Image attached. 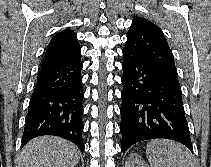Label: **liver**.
I'll return each instance as SVG.
<instances>
[{
    "mask_svg": "<svg viewBox=\"0 0 211 167\" xmlns=\"http://www.w3.org/2000/svg\"><path fill=\"white\" fill-rule=\"evenodd\" d=\"M80 150L71 142L42 136L28 142L18 160L19 167H74L80 159Z\"/></svg>",
    "mask_w": 211,
    "mask_h": 167,
    "instance_id": "obj_1",
    "label": "liver"
}]
</instances>
